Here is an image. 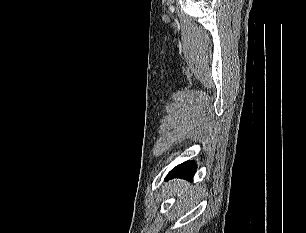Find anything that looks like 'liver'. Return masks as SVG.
Wrapping results in <instances>:
<instances>
[{"mask_svg": "<svg viewBox=\"0 0 306 233\" xmlns=\"http://www.w3.org/2000/svg\"><path fill=\"white\" fill-rule=\"evenodd\" d=\"M171 186L174 193H180V200H183L184 203L188 198L194 196L195 191L189 188L183 180H174Z\"/></svg>", "mask_w": 306, "mask_h": 233, "instance_id": "6515ba94", "label": "liver"}]
</instances>
